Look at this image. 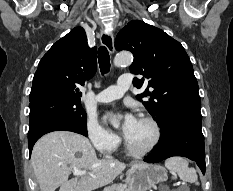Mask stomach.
I'll return each instance as SVG.
<instances>
[{
	"label": "stomach",
	"mask_w": 233,
	"mask_h": 191,
	"mask_svg": "<svg viewBox=\"0 0 233 191\" xmlns=\"http://www.w3.org/2000/svg\"><path fill=\"white\" fill-rule=\"evenodd\" d=\"M125 182L130 191H147L167 180L165 169L157 164L136 163L127 172Z\"/></svg>",
	"instance_id": "0dacf381"
}]
</instances>
